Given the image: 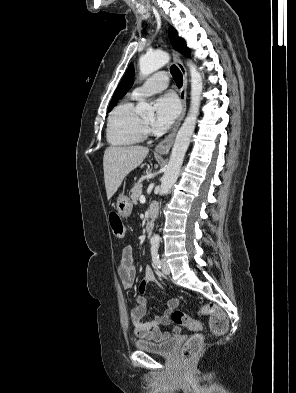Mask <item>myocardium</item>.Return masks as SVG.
<instances>
[{
    "label": "myocardium",
    "instance_id": "f54148a6",
    "mask_svg": "<svg viewBox=\"0 0 296 393\" xmlns=\"http://www.w3.org/2000/svg\"><path fill=\"white\" fill-rule=\"evenodd\" d=\"M141 124H142L144 135H145L149 132V123H147L141 119Z\"/></svg>",
    "mask_w": 296,
    "mask_h": 393
}]
</instances>
